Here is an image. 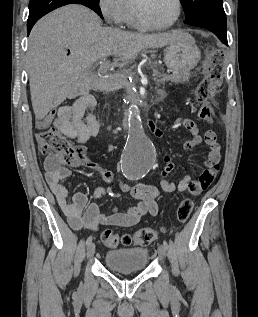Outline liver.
<instances>
[{
  "label": "liver",
  "instance_id": "6515ba94",
  "mask_svg": "<svg viewBox=\"0 0 258 317\" xmlns=\"http://www.w3.org/2000/svg\"><path fill=\"white\" fill-rule=\"evenodd\" d=\"M182 30L156 34L128 32L101 26V18L82 4L56 8L34 24L27 50V70L35 118L42 120L65 98L79 94L91 82L90 68L96 60L116 54L125 66L142 48H159L181 40Z\"/></svg>",
  "mask_w": 258,
  "mask_h": 317
}]
</instances>
